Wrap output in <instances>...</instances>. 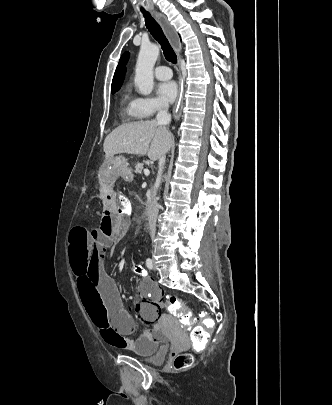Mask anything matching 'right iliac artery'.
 I'll return each instance as SVG.
<instances>
[{"label": "right iliac artery", "mask_w": 332, "mask_h": 405, "mask_svg": "<svg viewBox=\"0 0 332 405\" xmlns=\"http://www.w3.org/2000/svg\"><path fill=\"white\" fill-rule=\"evenodd\" d=\"M146 266L149 268V269H153V262H152V260L151 259H146Z\"/></svg>", "instance_id": "obj_1"}]
</instances>
